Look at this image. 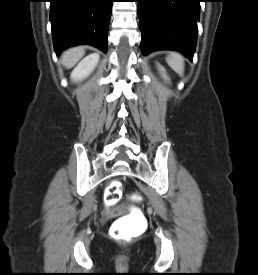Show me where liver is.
<instances>
[{"label": "liver", "mask_w": 258, "mask_h": 275, "mask_svg": "<svg viewBox=\"0 0 258 275\" xmlns=\"http://www.w3.org/2000/svg\"><path fill=\"white\" fill-rule=\"evenodd\" d=\"M84 53L82 47L71 48L62 54L61 61L66 68H71L81 59Z\"/></svg>", "instance_id": "6515ba94"}]
</instances>
